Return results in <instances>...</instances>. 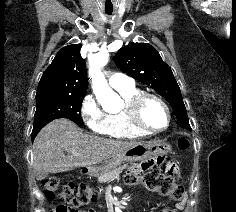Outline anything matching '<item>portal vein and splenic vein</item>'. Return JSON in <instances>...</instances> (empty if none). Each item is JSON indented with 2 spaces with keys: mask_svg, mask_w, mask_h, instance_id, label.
<instances>
[{
  "mask_svg": "<svg viewBox=\"0 0 236 212\" xmlns=\"http://www.w3.org/2000/svg\"><path fill=\"white\" fill-rule=\"evenodd\" d=\"M72 154H75V151H70Z\"/></svg>",
  "mask_w": 236,
  "mask_h": 212,
  "instance_id": "1",
  "label": "portal vein and splenic vein"
}]
</instances>
